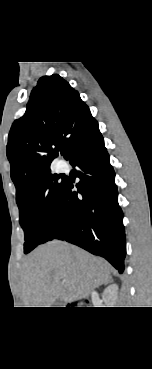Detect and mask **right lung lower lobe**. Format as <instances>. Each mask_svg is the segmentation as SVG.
Masks as SVG:
<instances>
[{
	"label": "right lung lower lobe",
	"instance_id": "obj_1",
	"mask_svg": "<svg viewBox=\"0 0 152 369\" xmlns=\"http://www.w3.org/2000/svg\"><path fill=\"white\" fill-rule=\"evenodd\" d=\"M77 166V192L66 180L58 207L53 239L66 240L107 259L120 273L124 270L126 242L123 213L117 201L115 173L104 139L96 130L80 143L68 159Z\"/></svg>",
	"mask_w": 152,
	"mask_h": 369
}]
</instances>
